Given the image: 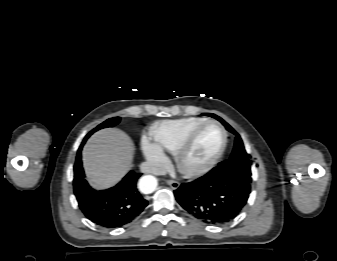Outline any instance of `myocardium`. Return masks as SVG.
<instances>
[{
  "label": "myocardium",
  "mask_w": 337,
  "mask_h": 261,
  "mask_svg": "<svg viewBox=\"0 0 337 261\" xmlns=\"http://www.w3.org/2000/svg\"><path fill=\"white\" fill-rule=\"evenodd\" d=\"M209 125L217 126L222 133V143H221L220 148L215 153V155L209 161H207L205 164H203L199 167H195V168L186 167L185 166V158H186L187 154L189 153L197 135L200 133V131L202 129H204L205 127H207ZM227 144H228V134H227V131H226L225 127L220 122H218L217 120H213V119L206 120L203 123L194 127L187 134V136L183 140L182 144L180 145L178 150L175 152L174 160H175L176 167H177L178 171L186 177L192 178V177L202 176V175L208 173L211 169H213L217 165V163L220 161V159L222 158V156H223V154L226 150Z\"/></svg>",
  "instance_id": "myocardium-1"
}]
</instances>
